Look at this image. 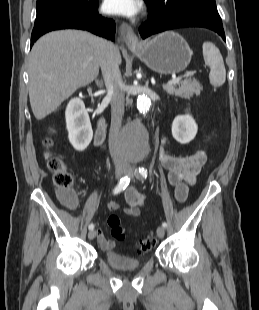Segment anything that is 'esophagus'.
I'll list each match as a JSON object with an SVG mask.
<instances>
[{"label": "esophagus", "mask_w": 259, "mask_h": 310, "mask_svg": "<svg viewBox=\"0 0 259 310\" xmlns=\"http://www.w3.org/2000/svg\"><path fill=\"white\" fill-rule=\"evenodd\" d=\"M119 35L120 38L128 48L130 49H137L141 46V43L133 31L132 27L127 23H122L119 27Z\"/></svg>", "instance_id": "1"}]
</instances>
